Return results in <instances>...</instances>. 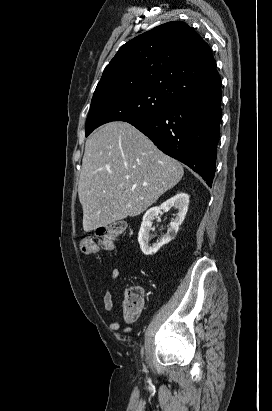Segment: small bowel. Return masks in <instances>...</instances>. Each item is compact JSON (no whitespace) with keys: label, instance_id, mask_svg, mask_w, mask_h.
I'll use <instances>...</instances> for the list:
<instances>
[{"label":"small bowel","instance_id":"obj_1","mask_svg":"<svg viewBox=\"0 0 272 411\" xmlns=\"http://www.w3.org/2000/svg\"><path fill=\"white\" fill-rule=\"evenodd\" d=\"M120 277V270L118 268H114L111 271V281L116 282ZM103 304L104 308L107 312L111 313L114 310L113 298L110 290L106 287L103 291ZM109 328L111 330H118L120 328V322L118 319H114L109 323ZM123 333H132L133 330L130 327H126L122 329Z\"/></svg>","mask_w":272,"mask_h":411}]
</instances>
